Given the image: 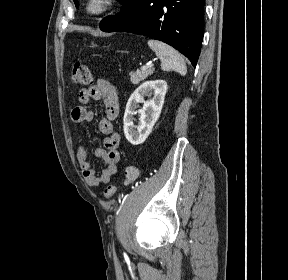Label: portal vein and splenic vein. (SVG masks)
Here are the masks:
<instances>
[{
    "label": "portal vein and splenic vein",
    "instance_id": "portal-vein-and-splenic-vein-1",
    "mask_svg": "<svg viewBox=\"0 0 288 280\" xmlns=\"http://www.w3.org/2000/svg\"><path fill=\"white\" fill-rule=\"evenodd\" d=\"M152 66H153L152 63H148V64L142 66L141 69H142V70H145L146 68H149V67H152Z\"/></svg>",
    "mask_w": 288,
    "mask_h": 280
}]
</instances>
